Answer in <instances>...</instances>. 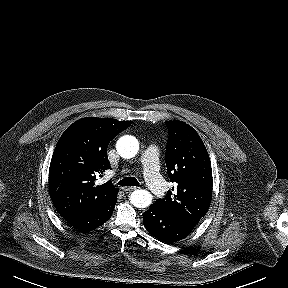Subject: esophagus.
<instances>
[{"label":"esophagus","instance_id":"1","mask_svg":"<svg viewBox=\"0 0 288 288\" xmlns=\"http://www.w3.org/2000/svg\"><path fill=\"white\" fill-rule=\"evenodd\" d=\"M122 189H123L124 191H133V190H136L137 187L129 186V187H123Z\"/></svg>","mask_w":288,"mask_h":288}]
</instances>
